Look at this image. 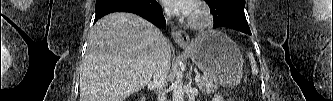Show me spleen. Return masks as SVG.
<instances>
[{"label": "spleen", "instance_id": "obj_1", "mask_svg": "<svg viewBox=\"0 0 333 101\" xmlns=\"http://www.w3.org/2000/svg\"><path fill=\"white\" fill-rule=\"evenodd\" d=\"M248 58H249V61H250V64H251L252 74L257 75L258 74V68H257V65H256V61L254 59V56L251 52L248 53Z\"/></svg>", "mask_w": 333, "mask_h": 101}]
</instances>
